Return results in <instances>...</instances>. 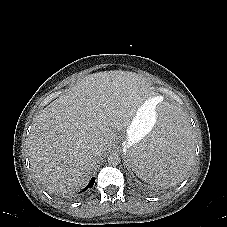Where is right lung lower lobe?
I'll list each match as a JSON object with an SVG mask.
<instances>
[{
  "instance_id": "obj_1",
  "label": "right lung lower lobe",
  "mask_w": 227,
  "mask_h": 227,
  "mask_svg": "<svg viewBox=\"0 0 227 227\" xmlns=\"http://www.w3.org/2000/svg\"><path fill=\"white\" fill-rule=\"evenodd\" d=\"M94 182H95V178H92L91 181L89 182V184L87 185V187L83 190H87L88 188L92 187L94 185ZM82 192V191H81Z\"/></svg>"
}]
</instances>
